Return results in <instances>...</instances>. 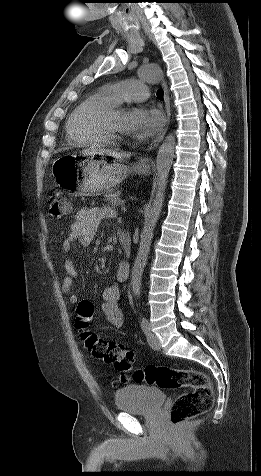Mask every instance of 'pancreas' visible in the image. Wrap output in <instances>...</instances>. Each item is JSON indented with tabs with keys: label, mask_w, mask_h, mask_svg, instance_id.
<instances>
[{
	"label": "pancreas",
	"mask_w": 261,
	"mask_h": 476,
	"mask_svg": "<svg viewBox=\"0 0 261 476\" xmlns=\"http://www.w3.org/2000/svg\"><path fill=\"white\" fill-rule=\"evenodd\" d=\"M106 200L112 205V206H120L123 205V201L120 199V192H109L105 195Z\"/></svg>",
	"instance_id": "obj_1"
}]
</instances>
